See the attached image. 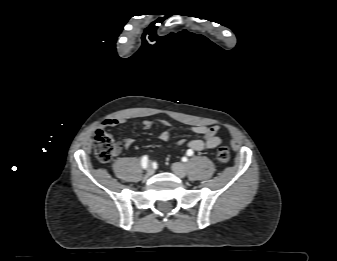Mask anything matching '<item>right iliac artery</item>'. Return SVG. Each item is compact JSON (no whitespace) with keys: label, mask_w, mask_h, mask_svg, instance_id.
Here are the masks:
<instances>
[{"label":"right iliac artery","mask_w":337,"mask_h":261,"mask_svg":"<svg viewBox=\"0 0 337 261\" xmlns=\"http://www.w3.org/2000/svg\"><path fill=\"white\" fill-rule=\"evenodd\" d=\"M141 165L144 169L147 168L148 166V157L147 156H143L142 159H141Z\"/></svg>","instance_id":"82829eb1"}]
</instances>
